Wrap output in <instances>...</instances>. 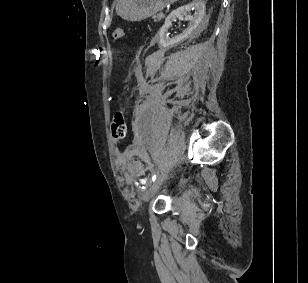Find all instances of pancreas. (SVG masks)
Returning <instances> with one entry per match:
<instances>
[{"label": "pancreas", "instance_id": "1", "mask_svg": "<svg viewBox=\"0 0 308 283\" xmlns=\"http://www.w3.org/2000/svg\"><path fill=\"white\" fill-rule=\"evenodd\" d=\"M163 18H164V14H163V13H159V14L153 16V19H154L155 21H160V20H162Z\"/></svg>", "mask_w": 308, "mask_h": 283}]
</instances>
